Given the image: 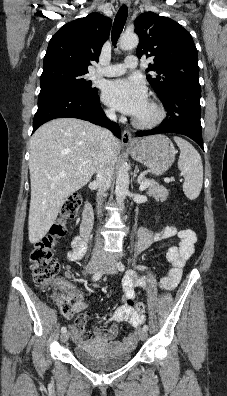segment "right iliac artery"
<instances>
[{"mask_svg":"<svg viewBox=\"0 0 227 396\" xmlns=\"http://www.w3.org/2000/svg\"><path fill=\"white\" fill-rule=\"evenodd\" d=\"M101 277H102V272L99 271V272L95 273V274L92 276V281H97V280H99ZM65 331H66V327L63 326V327L61 328V332L64 333Z\"/></svg>","mask_w":227,"mask_h":396,"instance_id":"obj_1","label":"right iliac artery"}]
</instances>
